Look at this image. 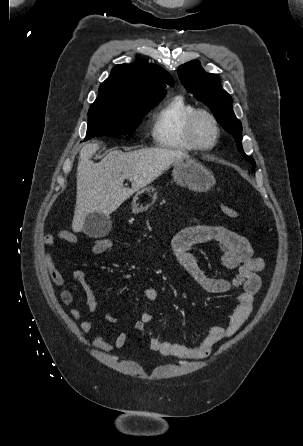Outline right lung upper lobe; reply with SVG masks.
<instances>
[{"instance_id":"cb5924a9","label":"right lung upper lobe","mask_w":303,"mask_h":446,"mask_svg":"<svg viewBox=\"0 0 303 446\" xmlns=\"http://www.w3.org/2000/svg\"><path fill=\"white\" fill-rule=\"evenodd\" d=\"M172 76L162 67L149 63L116 65L99 88L90 108L141 109L158 104L173 86Z\"/></svg>"}]
</instances>
